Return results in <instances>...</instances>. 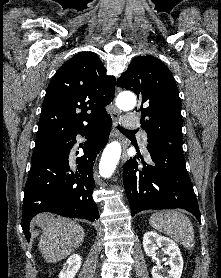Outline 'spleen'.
Segmentation results:
<instances>
[{
    "instance_id": "spleen-1",
    "label": "spleen",
    "mask_w": 221,
    "mask_h": 278,
    "mask_svg": "<svg viewBox=\"0 0 221 278\" xmlns=\"http://www.w3.org/2000/svg\"><path fill=\"white\" fill-rule=\"evenodd\" d=\"M150 225L161 233L172 237L186 249L195 246L194 229L184 214L174 210L159 211L151 215Z\"/></svg>"
}]
</instances>
